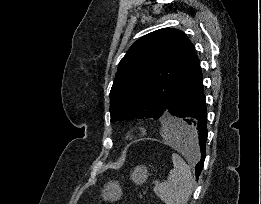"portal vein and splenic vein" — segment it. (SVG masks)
<instances>
[{
    "label": "portal vein and splenic vein",
    "instance_id": "18ae733b",
    "mask_svg": "<svg viewBox=\"0 0 261 204\" xmlns=\"http://www.w3.org/2000/svg\"><path fill=\"white\" fill-rule=\"evenodd\" d=\"M154 183H155V185H159L160 182L159 181H155Z\"/></svg>",
    "mask_w": 261,
    "mask_h": 204
}]
</instances>
